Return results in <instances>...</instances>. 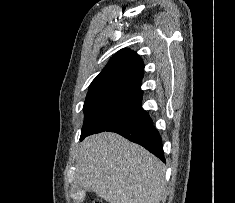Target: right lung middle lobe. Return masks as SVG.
I'll use <instances>...</instances> for the list:
<instances>
[{"instance_id": "dd1d6c3e", "label": "right lung middle lobe", "mask_w": 235, "mask_h": 203, "mask_svg": "<svg viewBox=\"0 0 235 203\" xmlns=\"http://www.w3.org/2000/svg\"><path fill=\"white\" fill-rule=\"evenodd\" d=\"M142 98L140 86L111 84L89 88L84 102L82 139L100 122Z\"/></svg>"}]
</instances>
